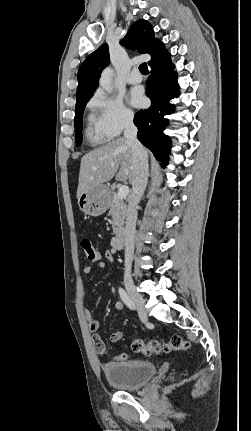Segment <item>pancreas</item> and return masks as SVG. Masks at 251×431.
<instances>
[{
	"label": "pancreas",
	"instance_id": "obj_1",
	"mask_svg": "<svg viewBox=\"0 0 251 431\" xmlns=\"http://www.w3.org/2000/svg\"><path fill=\"white\" fill-rule=\"evenodd\" d=\"M126 204L124 203L123 199H120L116 192H111V203H110V210L109 215L112 218V228L113 233L119 237L123 234V225H124V219L126 217Z\"/></svg>",
	"mask_w": 251,
	"mask_h": 431
}]
</instances>
